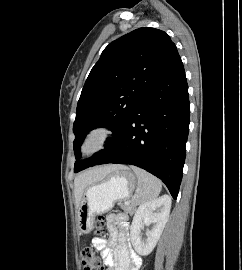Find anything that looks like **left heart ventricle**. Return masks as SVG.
Listing matches in <instances>:
<instances>
[{
    "label": "left heart ventricle",
    "mask_w": 242,
    "mask_h": 270,
    "mask_svg": "<svg viewBox=\"0 0 242 270\" xmlns=\"http://www.w3.org/2000/svg\"><path fill=\"white\" fill-rule=\"evenodd\" d=\"M93 146V143L92 144H89L88 146V150Z\"/></svg>",
    "instance_id": "1"
}]
</instances>
